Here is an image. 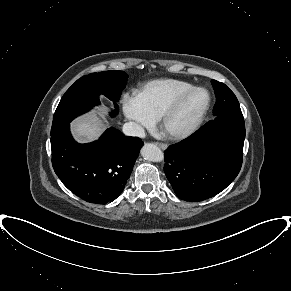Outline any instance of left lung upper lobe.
Listing matches in <instances>:
<instances>
[{
    "instance_id": "left-lung-upper-lobe-1",
    "label": "left lung upper lobe",
    "mask_w": 291,
    "mask_h": 291,
    "mask_svg": "<svg viewBox=\"0 0 291 291\" xmlns=\"http://www.w3.org/2000/svg\"><path fill=\"white\" fill-rule=\"evenodd\" d=\"M216 95L214 115H235L243 116L239 102L234 93L223 83L211 80Z\"/></svg>"
}]
</instances>
